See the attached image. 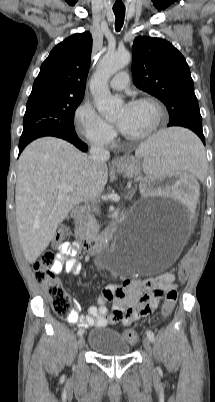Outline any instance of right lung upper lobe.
<instances>
[{
	"label": "right lung upper lobe",
	"mask_w": 215,
	"mask_h": 402,
	"mask_svg": "<svg viewBox=\"0 0 215 402\" xmlns=\"http://www.w3.org/2000/svg\"><path fill=\"white\" fill-rule=\"evenodd\" d=\"M91 51L92 37L87 31L59 43L43 62L30 96L42 93L84 96Z\"/></svg>",
	"instance_id": "right-lung-upper-lobe-1"
}]
</instances>
